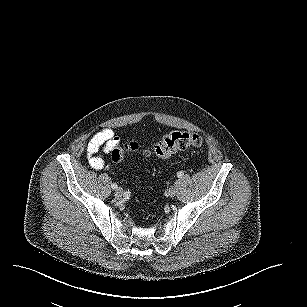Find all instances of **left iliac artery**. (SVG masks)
<instances>
[{
  "instance_id": "44dca946",
  "label": "left iliac artery",
  "mask_w": 307,
  "mask_h": 307,
  "mask_svg": "<svg viewBox=\"0 0 307 307\" xmlns=\"http://www.w3.org/2000/svg\"><path fill=\"white\" fill-rule=\"evenodd\" d=\"M183 175H184V173H183L182 171H180V172L177 173V176H178L179 178H182Z\"/></svg>"
}]
</instances>
